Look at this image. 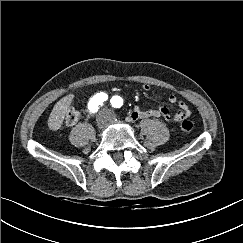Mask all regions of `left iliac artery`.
<instances>
[{
    "instance_id": "left-iliac-artery-1",
    "label": "left iliac artery",
    "mask_w": 243,
    "mask_h": 243,
    "mask_svg": "<svg viewBox=\"0 0 243 243\" xmlns=\"http://www.w3.org/2000/svg\"><path fill=\"white\" fill-rule=\"evenodd\" d=\"M111 105L115 108H120L123 104V101L121 99V97L119 96H113V98L111 99Z\"/></svg>"
}]
</instances>
